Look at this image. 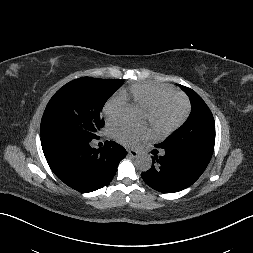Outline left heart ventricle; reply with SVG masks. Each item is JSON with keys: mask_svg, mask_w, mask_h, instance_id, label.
<instances>
[{"mask_svg": "<svg viewBox=\"0 0 253 253\" xmlns=\"http://www.w3.org/2000/svg\"><path fill=\"white\" fill-rule=\"evenodd\" d=\"M181 111L182 107L177 100L167 99L160 106L156 115V120L162 126L169 125L180 116ZM145 118H147L146 113Z\"/></svg>", "mask_w": 253, "mask_h": 253, "instance_id": "1", "label": "left heart ventricle"}]
</instances>
